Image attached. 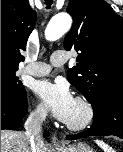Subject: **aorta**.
<instances>
[{"mask_svg": "<svg viewBox=\"0 0 123 152\" xmlns=\"http://www.w3.org/2000/svg\"><path fill=\"white\" fill-rule=\"evenodd\" d=\"M72 25V18L67 13L54 16L45 29V37L49 41L61 38Z\"/></svg>", "mask_w": 123, "mask_h": 152, "instance_id": "aorta-1", "label": "aorta"}]
</instances>
